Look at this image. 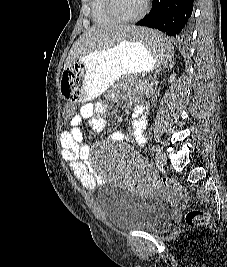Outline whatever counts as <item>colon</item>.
Listing matches in <instances>:
<instances>
[{"label":"colon","instance_id":"obj_1","mask_svg":"<svg viewBox=\"0 0 227 267\" xmlns=\"http://www.w3.org/2000/svg\"><path fill=\"white\" fill-rule=\"evenodd\" d=\"M77 109L76 105H65L64 106V114L61 115L62 119H74L75 111ZM162 189L182 194L181 185L175 180L169 177H163L161 180ZM185 221L189 226H206L210 222L209 213L200 210V209H192L189 210L185 216Z\"/></svg>","mask_w":227,"mask_h":267}]
</instances>
